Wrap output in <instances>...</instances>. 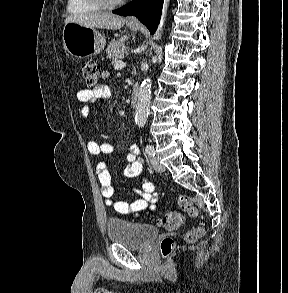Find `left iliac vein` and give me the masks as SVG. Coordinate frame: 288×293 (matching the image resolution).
I'll return each instance as SVG.
<instances>
[{"mask_svg":"<svg viewBox=\"0 0 288 293\" xmlns=\"http://www.w3.org/2000/svg\"><path fill=\"white\" fill-rule=\"evenodd\" d=\"M151 163L156 172H163L165 170L164 165L160 162V160L156 157L151 158Z\"/></svg>","mask_w":288,"mask_h":293,"instance_id":"4c4485c4","label":"left iliac vein"}]
</instances>
